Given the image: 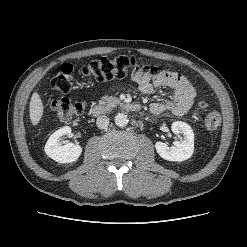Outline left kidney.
I'll use <instances>...</instances> for the list:
<instances>
[{"mask_svg": "<svg viewBox=\"0 0 247 247\" xmlns=\"http://www.w3.org/2000/svg\"><path fill=\"white\" fill-rule=\"evenodd\" d=\"M171 129L175 134H182L183 140L175 141L174 146L156 142L155 148L160 157L168 161H184L189 159L194 151V133L190 125L182 121L173 122Z\"/></svg>", "mask_w": 247, "mask_h": 247, "instance_id": "5707ae66", "label": "left kidney"}]
</instances>
